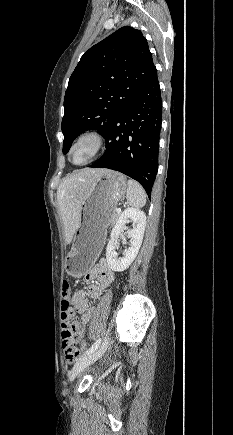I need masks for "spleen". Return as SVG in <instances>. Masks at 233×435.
Returning <instances> with one entry per match:
<instances>
[{
  "label": "spleen",
  "instance_id": "3e777b00",
  "mask_svg": "<svg viewBox=\"0 0 233 435\" xmlns=\"http://www.w3.org/2000/svg\"><path fill=\"white\" fill-rule=\"evenodd\" d=\"M126 198L128 204L133 207L141 208L146 204V193L143 187L135 180H128Z\"/></svg>",
  "mask_w": 233,
  "mask_h": 435
}]
</instances>
